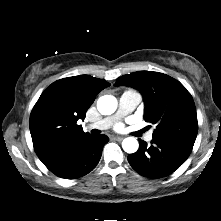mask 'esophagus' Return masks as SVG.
<instances>
[{
	"label": "esophagus",
	"instance_id": "34e87169",
	"mask_svg": "<svg viewBox=\"0 0 221 221\" xmlns=\"http://www.w3.org/2000/svg\"><path fill=\"white\" fill-rule=\"evenodd\" d=\"M113 139L117 140V141H122L123 137L122 136H113Z\"/></svg>",
	"mask_w": 221,
	"mask_h": 221
}]
</instances>
